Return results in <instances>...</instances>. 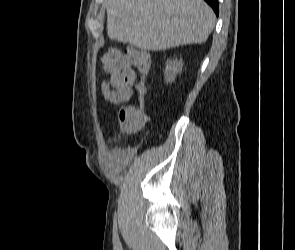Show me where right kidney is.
<instances>
[{
  "mask_svg": "<svg viewBox=\"0 0 295 250\" xmlns=\"http://www.w3.org/2000/svg\"><path fill=\"white\" fill-rule=\"evenodd\" d=\"M182 67L183 61L181 59L167 60L164 71L166 83H172L175 80L177 74L182 71Z\"/></svg>",
  "mask_w": 295,
  "mask_h": 250,
  "instance_id": "1",
  "label": "right kidney"
}]
</instances>
